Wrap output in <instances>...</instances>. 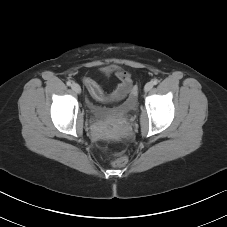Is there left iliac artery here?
<instances>
[{
    "label": "left iliac artery",
    "instance_id": "obj_1",
    "mask_svg": "<svg viewBox=\"0 0 227 227\" xmlns=\"http://www.w3.org/2000/svg\"><path fill=\"white\" fill-rule=\"evenodd\" d=\"M152 83H153V85H157L158 84V80L155 79V80L152 81Z\"/></svg>",
    "mask_w": 227,
    "mask_h": 227
}]
</instances>
